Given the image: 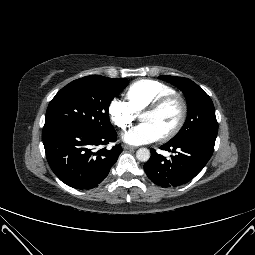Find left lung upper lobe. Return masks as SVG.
Segmentation results:
<instances>
[{
    "label": "left lung upper lobe",
    "mask_w": 255,
    "mask_h": 255,
    "mask_svg": "<svg viewBox=\"0 0 255 255\" xmlns=\"http://www.w3.org/2000/svg\"><path fill=\"white\" fill-rule=\"evenodd\" d=\"M160 78L182 90L188 104V117L185 124L169 142L178 144L203 141L214 145L218 123L210 97L190 79L169 75H162Z\"/></svg>",
    "instance_id": "1"
}]
</instances>
